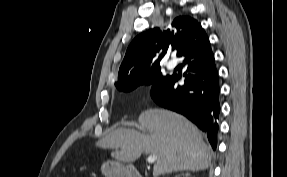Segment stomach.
Listing matches in <instances>:
<instances>
[{"mask_svg":"<svg viewBox=\"0 0 287 177\" xmlns=\"http://www.w3.org/2000/svg\"><path fill=\"white\" fill-rule=\"evenodd\" d=\"M105 177H130L134 169L115 161H107L101 167Z\"/></svg>","mask_w":287,"mask_h":177,"instance_id":"1","label":"stomach"}]
</instances>
